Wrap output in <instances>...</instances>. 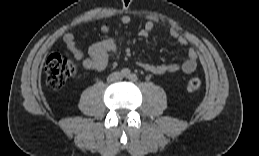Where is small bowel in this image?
<instances>
[{
	"mask_svg": "<svg viewBox=\"0 0 259 156\" xmlns=\"http://www.w3.org/2000/svg\"><path fill=\"white\" fill-rule=\"evenodd\" d=\"M121 23L124 25H129L132 23V18L128 15H124L121 17ZM154 28L155 26L153 22H146L144 27L140 30V36L149 38L154 31ZM101 31L103 33H108L110 31V27L107 24H103L101 26ZM169 34L172 38L176 39L179 44H187L186 37L179 33L176 29H171ZM63 42L73 53L74 57L81 62L84 68L94 71L104 70L108 65L110 54H116L117 52V45L112 38H107L93 44L88 49L87 55H85L84 52L77 47L76 39L73 33L66 32L63 35ZM138 65L143 70L155 75H162L177 71L192 73L196 70L198 65V53L194 48H190L187 58L181 64L139 62Z\"/></svg>",
	"mask_w": 259,
	"mask_h": 156,
	"instance_id": "1",
	"label": "small bowel"
}]
</instances>
